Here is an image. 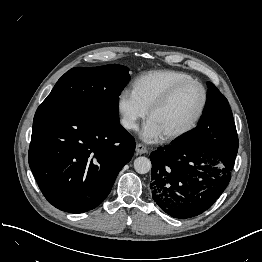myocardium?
I'll return each instance as SVG.
<instances>
[{
    "label": "myocardium",
    "instance_id": "f54148a6",
    "mask_svg": "<svg viewBox=\"0 0 262 262\" xmlns=\"http://www.w3.org/2000/svg\"><path fill=\"white\" fill-rule=\"evenodd\" d=\"M189 85H196L200 88L201 93H202L200 105H199L196 113L194 114L193 118L190 120V122L185 127H183L182 129H180L176 132L164 135V139L167 140V141H174V140L180 139V138L186 136L187 134H189L190 132H192L193 129L197 126L198 122L200 121V119L203 115V112H204V109H205L206 103H207V90H206L205 86L195 79H189V80L182 81V82L174 85L170 90H168L148 110V118L151 119V117L157 111H159L160 109L165 107L181 89H183L184 87H187Z\"/></svg>",
    "mask_w": 262,
    "mask_h": 262
}]
</instances>
